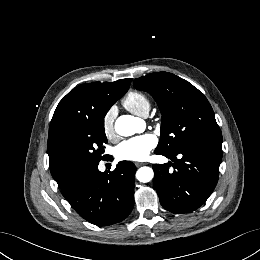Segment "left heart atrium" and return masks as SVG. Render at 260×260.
Instances as JSON below:
<instances>
[{
    "instance_id": "left-heart-atrium-1",
    "label": "left heart atrium",
    "mask_w": 260,
    "mask_h": 260,
    "mask_svg": "<svg viewBox=\"0 0 260 260\" xmlns=\"http://www.w3.org/2000/svg\"><path fill=\"white\" fill-rule=\"evenodd\" d=\"M156 143V138L151 134L133 137L116 147L115 156L120 160L142 161L148 157Z\"/></svg>"
}]
</instances>
